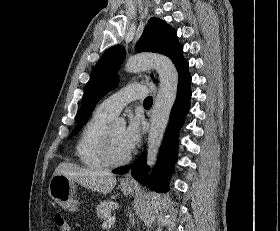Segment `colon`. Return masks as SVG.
<instances>
[{
    "label": "colon",
    "instance_id": "colon-1",
    "mask_svg": "<svg viewBox=\"0 0 280 231\" xmlns=\"http://www.w3.org/2000/svg\"><path fill=\"white\" fill-rule=\"evenodd\" d=\"M57 225H64L65 221L64 220H57L56 221ZM60 231H71L68 225H65L63 228L60 229Z\"/></svg>",
    "mask_w": 280,
    "mask_h": 231
}]
</instances>
